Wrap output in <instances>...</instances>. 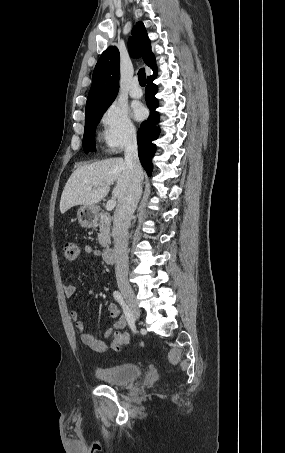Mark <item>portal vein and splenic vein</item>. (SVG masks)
<instances>
[{
  "label": "portal vein and splenic vein",
  "instance_id": "portal-vein-and-splenic-vein-1",
  "mask_svg": "<svg viewBox=\"0 0 285 453\" xmlns=\"http://www.w3.org/2000/svg\"><path fill=\"white\" fill-rule=\"evenodd\" d=\"M115 205H116V201H115L114 199L109 200V201L107 202V204H106V210H107V211L113 210L114 207H115Z\"/></svg>",
  "mask_w": 285,
  "mask_h": 453
}]
</instances>
